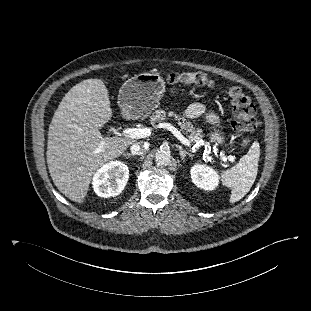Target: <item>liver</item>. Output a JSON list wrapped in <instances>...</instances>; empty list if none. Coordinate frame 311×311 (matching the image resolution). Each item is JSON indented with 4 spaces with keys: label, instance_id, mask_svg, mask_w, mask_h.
Instances as JSON below:
<instances>
[{
    "label": "liver",
    "instance_id": "obj_1",
    "mask_svg": "<svg viewBox=\"0 0 311 311\" xmlns=\"http://www.w3.org/2000/svg\"><path fill=\"white\" fill-rule=\"evenodd\" d=\"M111 117L108 90L97 78L73 86L54 113L48 130V170L58 190L74 202L85 199L100 166L137 142L129 137H104L100 128Z\"/></svg>",
    "mask_w": 311,
    "mask_h": 311
}]
</instances>
